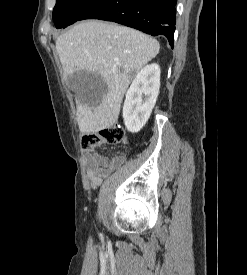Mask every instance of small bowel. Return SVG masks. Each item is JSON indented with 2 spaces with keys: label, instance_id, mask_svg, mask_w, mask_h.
<instances>
[{
  "label": "small bowel",
  "instance_id": "c3829d8e",
  "mask_svg": "<svg viewBox=\"0 0 247 275\" xmlns=\"http://www.w3.org/2000/svg\"><path fill=\"white\" fill-rule=\"evenodd\" d=\"M126 160L124 153H117L108 159L96 152H86L84 163L86 174L93 188H97L102 181L114 170L119 168Z\"/></svg>",
  "mask_w": 247,
  "mask_h": 275
}]
</instances>
